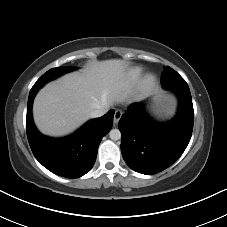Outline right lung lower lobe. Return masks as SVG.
<instances>
[{
  "label": "right lung lower lobe",
  "instance_id": "obj_1",
  "mask_svg": "<svg viewBox=\"0 0 227 227\" xmlns=\"http://www.w3.org/2000/svg\"><path fill=\"white\" fill-rule=\"evenodd\" d=\"M37 89L31 90L27 105V137L36 159L51 172L66 178H78L94 165L98 146L110 131L114 111L93 119L71 136L54 139L43 136L32 119V103Z\"/></svg>",
  "mask_w": 227,
  "mask_h": 227
}]
</instances>
